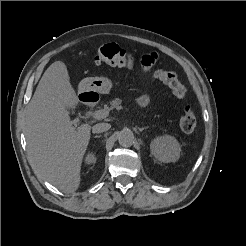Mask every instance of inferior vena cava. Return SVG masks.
I'll use <instances>...</instances> for the list:
<instances>
[{
	"label": "inferior vena cava",
	"instance_id": "602c4592",
	"mask_svg": "<svg viewBox=\"0 0 246 246\" xmlns=\"http://www.w3.org/2000/svg\"><path fill=\"white\" fill-rule=\"evenodd\" d=\"M110 127H111V125L108 123H97L92 127V132L93 133H102V132L109 130Z\"/></svg>",
	"mask_w": 246,
	"mask_h": 246
}]
</instances>
